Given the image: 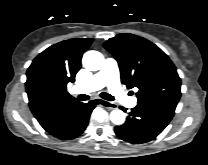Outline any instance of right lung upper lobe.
<instances>
[{
    "mask_svg": "<svg viewBox=\"0 0 208 165\" xmlns=\"http://www.w3.org/2000/svg\"><path fill=\"white\" fill-rule=\"evenodd\" d=\"M93 39L75 38L59 42L40 53L27 70L29 106L40 125L79 103L67 91L81 67L83 53Z\"/></svg>",
    "mask_w": 208,
    "mask_h": 165,
    "instance_id": "1",
    "label": "right lung upper lobe"
}]
</instances>
